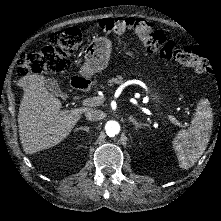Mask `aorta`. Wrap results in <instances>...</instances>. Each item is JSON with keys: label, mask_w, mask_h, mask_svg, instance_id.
Here are the masks:
<instances>
[{"label": "aorta", "mask_w": 221, "mask_h": 221, "mask_svg": "<svg viewBox=\"0 0 221 221\" xmlns=\"http://www.w3.org/2000/svg\"><path fill=\"white\" fill-rule=\"evenodd\" d=\"M105 130L109 137H114L120 132V125L118 122L110 120L105 124Z\"/></svg>", "instance_id": "762f6f07"}]
</instances>
